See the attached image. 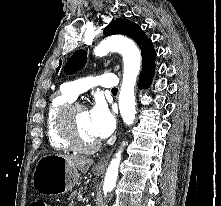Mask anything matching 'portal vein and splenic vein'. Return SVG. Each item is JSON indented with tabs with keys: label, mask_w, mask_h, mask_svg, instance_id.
Returning a JSON list of instances; mask_svg holds the SVG:
<instances>
[{
	"label": "portal vein and splenic vein",
	"mask_w": 221,
	"mask_h": 206,
	"mask_svg": "<svg viewBox=\"0 0 221 206\" xmlns=\"http://www.w3.org/2000/svg\"><path fill=\"white\" fill-rule=\"evenodd\" d=\"M82 200H83L82 196H79L78 201H82Z\"/></svg>",
	"instance_id": "obj_1"
}]
</instances>
